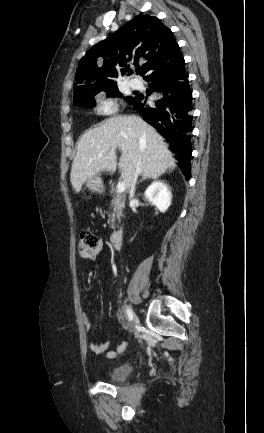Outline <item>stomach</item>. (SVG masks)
I'll list each match as a JSON object with an SVG mask.
<instances>
[{"instance_id":"obj_1","label":"stomach","mask_w":264,"mask_h":433,"mask_svg":"<svg viewBox=\"0 0 264 433\" xmlns=\"http://www.w3.org/2000/svg\"><path fill=\"white\" fill-rule=\"evenodd\" d=\"M86 187L93 193H102L104 191L103 182L99 176L87 179Z\"/></svg>"}]
</instances>
